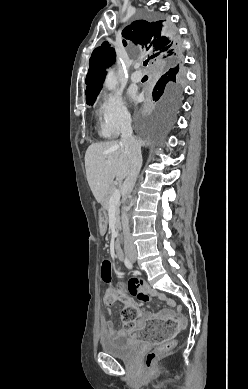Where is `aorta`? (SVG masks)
<instances>
[{
    "instance_id": "1",
    "label": "aorta",
    "mask_w": 248,
    "mask_h": 389,
    "mask_svg": "<svg viewBox=\"0 0 248 389\" xmlns=\"http://www.w3.org/2000/svg\"><path fill=\"white\" fill-rule=\"evenodd\" d=\"M117 85H118V80H117L116 74L113 70H111V71H109V73L106 76L105 87L109 91H112L117 87Z\"/></svg>"
}]
</instances>
